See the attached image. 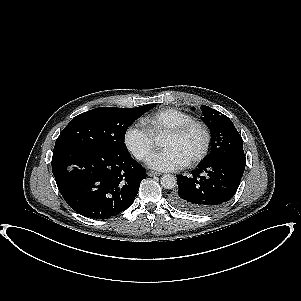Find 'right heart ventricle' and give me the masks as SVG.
Instances as JSON below:
<instances>
[{
	"label": "right heart ventricle",
	"instance_id": "1",
	"mask_svg": "<svg viewBox=\"0 0 301 301\" xmlns=\"http://www.w3.org/2000/svg\"><path fill=\"white\" fill-rule=\"evenodd\" d=\"M193 121V117L179 109L170 108L156 113L145 121L147 130L152 136L159 138L167 130Z\"/></svg>",
	"mask_w": 301,
	"mask_h": 301
}]
</instances>
